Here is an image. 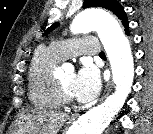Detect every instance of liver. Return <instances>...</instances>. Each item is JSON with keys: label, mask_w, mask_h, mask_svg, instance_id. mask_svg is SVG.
<instances>
[{"label": "liver", "mask_w": 153, "mask_h": 134, "mask_svg": "<svg viewBox=\"0 0 153 134\" xmlns=\"http://www.w3.org/2000/svg\"><path fill=\"white\" fill-rule=\"evenodd\" d=\"M66 115L57 111L31 109L19 116L18 133L56 134L66 120Z\"/></svg>", "instance_id": "liver-1"}]
</instances>
